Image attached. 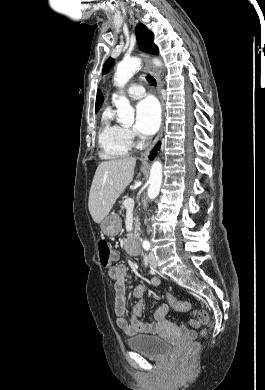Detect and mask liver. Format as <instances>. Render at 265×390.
<instances>
[{"label":"liver","mask_w":265,"mask_h":390,"mask_svg":"<svg viewBox=\"0 0 265 390\" xmlns=\"http://www.w3.org/2000/svg\"><path fill=\"white\" fill-rule=\"evenodd\" d=\"M136 158L124 157L101 162L95 172L89 193L88 208L95 223H101L116 200L131 183Z\"/></svg>","instance_id":"1"}]
</instances>
